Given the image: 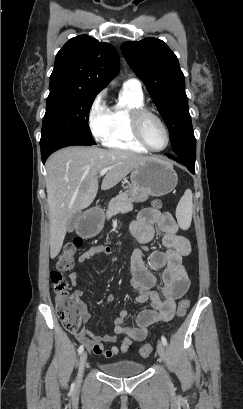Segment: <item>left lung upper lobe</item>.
Segmentation results:
<instances>
[{
  "instance_id": "5c2ea615",
  "label": "left lung upper lobe",
  "mask_w": 243,
  "mask_h": 409,
  "mask_svg": "<svg viewBox=\"0 0 243 409\" xmlns=\"http://www.w3.org/2000/svg\"><path fill=\"white\" fill-rule=\"evenodd\" d=\"M122 53L135 74L144 82L170 132L175 155L195 162L194 137L185 78L176 55L162 41L145 38L121 45Z\"/></svg>"
}]
</instances>
